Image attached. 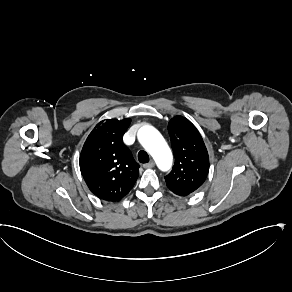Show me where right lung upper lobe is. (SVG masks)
<instances>
[{"mask_svg": "<svg viewBox=\"0 0 292 292\" xmlns=\"http://www.w3.org/2000/svg\"><path fill=\"white\" fill-rule=\"evenodd\" d=\"M130 119L101 121L87 137L80 154V170L98 198L118 201L129 193L139 175L134 160L122 137Z\"/></svg>", "mask_w": 292, "mask_h": 292, "instance_id": "right-lung-upper-lobe-1", "label": "right lung upper lobe"}]
</instances>
